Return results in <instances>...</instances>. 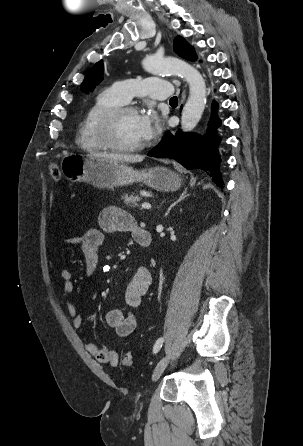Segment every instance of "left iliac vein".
<instances>
[{
    "instance_id": "obj_1",
    "label": "left iliac vein",
    "mask_w": 303,
    "mask_h": 446,
    "mask_svg": "<svg viewBox=\"0 0 303 446\" xmlns=\"http://www.w3.org/2000/svg\"><path fill=\"white\" fill-rule=\"evenodd\" d=\"M171 358V354H168L166 356H164L155 366L153 374H152V380L153 381H157L160 376L162 375V373L164 372L166 366L169 363V360Z\"/></svg>"
}]
</instances>
